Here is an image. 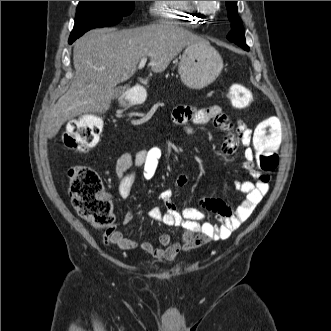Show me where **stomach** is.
<instances>
[{"label": "stomach", "mask_w": 331, "mask_h": 331, "mask_svg": "<svg viewBox=\"0 0 331 331\" xmlns=\"http://www.w3.org/2000/svg\"><path fill=\"white\" fill-rule=\"evenodd\" d=\"M223 60L208 41L186 47L178 66L181 81L189 88L200 89L212 83L221 73Z\"/></svg>", "instance_id": "0dacf381"}]
</instances>
